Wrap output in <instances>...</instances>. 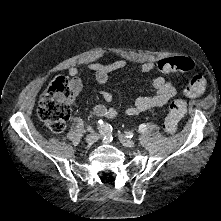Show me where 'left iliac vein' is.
I'll return each mask as SVG.
<instances>
[{
    "label": "left iliac vein",
    "instance_id": "1",
    "mask_svg": "<svg viewBox=\"0 0 221 221\" xmlns=\"http://www.w3.org/2000/svg\"><path fill=\"white\" fill-rule=\"evenodd\" d=\"M119 140L125 147H128V148L135 147V142L131 139L126 138L124 135H119Z\"/></svg>",
    "mask_w": 221,
    "mask_h": 221
}]
</instances>
